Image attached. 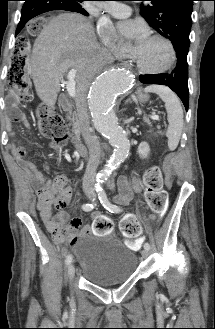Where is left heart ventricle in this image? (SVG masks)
I'll return each instance as SVG.
<instances>
[{
  "label": "left heart ventricle",
  "instance_id": "1",
  "mask_svg": "<svg viewBox=\"0 0 215 329\" xmlns=\"http://www.w3.org/2000/svg\"><path fill=\"white\" fill-rule=\"evenodd\" d=\"M139 63L147 69H160L170 60V50L161 40L150 38L142 47L133 49Z\"/></svg>",
  "mask_w": 215,
  "mask_h": 329
}]
</instances>
